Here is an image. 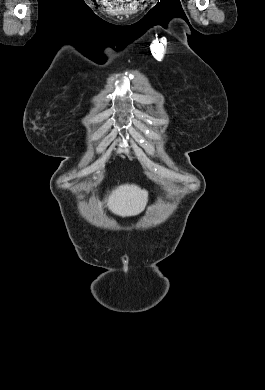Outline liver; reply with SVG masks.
Wrapping results in <instances>:
<instances>
[{
    "mask_svg": "<svg viewBox=\"0 0 265 390\" xmlns=\"http://www.w3.org/2000/svg\"><path fill=\"white\" fill-rule=\"evenodd\" d=\"M148 202V192L136 185H121L111 192L106 204L114 214L129 217L140 214Z\"/></svg>",
    "mask_w": 265,
    "mask_h": 390,
    "instance_id": "obj_1",
    "label": "liver"
}]
</instances>
